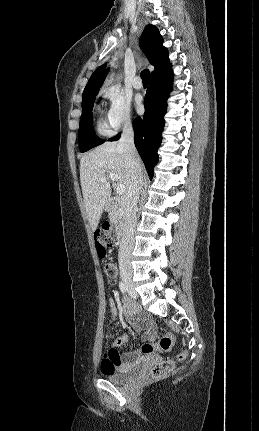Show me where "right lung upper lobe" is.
Here are the masks:
<instances>
[{
	"label": "right lung upper lobe",
	"mask_w": 259,
	"mask_h": 431,
	"mask_svg": "<svg viewBox=\"0 0 259 431\" xmlns=\"http://www.w3.org/2000/svg\"><path fill=\"white\" fill-rule=\"evenodd\" d=\"M139 43L150 64L155 68L151 76L171 66L168 58V50L163 46V38L155 26L149 24L145 27ZM107 72L106 64L98 67L91 75L83 95L91 92H98L106 78Z\"/></svg>",
	"instance_id": "obj_1"
}]
</instances>
